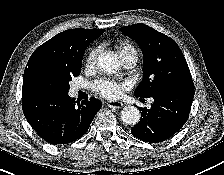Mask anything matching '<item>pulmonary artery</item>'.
Returning a JSON list of instances; mask_svg holds the SVG:
<instances>
[{
    "label": "pulmonary artery",
    "instance_id": "e3ab8cb5",
    "mask_svg": "<svg viewBox=\"0 0 224 175\" xmlns=\"http://www.w3.org/2000/svg\"><path fill=\"white\" fill-rule=\"evenodd\" d=\"M121 59V62L123 64V66L125 68H132L136 65V62H137V54L136 53H127V54H124L120 57ZM79 88L76 87L75 90H78Z\"/></svg>",
    "mask_w": 224,
    "mask_h": 175
}]
</instances>
